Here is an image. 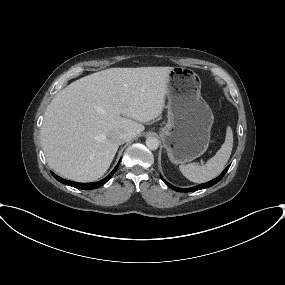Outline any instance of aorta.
<instances>
[{
    "mask_svg": "<svg viewBox=\"0 0 285 285\" xmlns=\"http://www.w3.org/2000/svg\"><path fill=\"white\" fill-rule=\"evenodd\" d=\"M146 146L150 150H156L159 147V141L156 137H148L146 139Z\"/></svg>",
    "mask_w": 285,
    "mask_h": 285,
    "instance_id": "762f6f07",
    "label": "aorta"
}]
</instances>
